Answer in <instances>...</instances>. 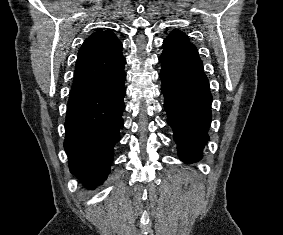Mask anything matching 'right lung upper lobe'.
Segmentation results:
<instances>
[{"mask_svg": "<svg viewBox=\"0 0 283 235\" xmlns=\"http://www.w3.org/2000/svg\"><path fill=\"white\" fill-rule=\"evenodd\" d=\"M122 43L110 30H99L79 50L72 87L116 75L124 69Z\"/></svg>", "mask_w": 283, "mask_h": 235, "instance_id": "cb5924a9", "label": "right lung upper lobe"}]
</instances>
